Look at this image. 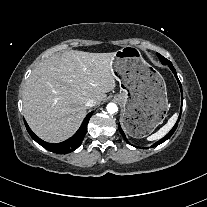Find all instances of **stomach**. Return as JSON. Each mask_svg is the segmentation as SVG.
I'll use <instances>...</instances> for the list:
<instances>
[{
	"label": "stomach",
	"mask_w": 207,
	"mask_h": 207,
	"mask_svg": "<svg viewBox=\"0 0 207 207\" xmlns=\"http://www.w3.org/2000/svg\"><path fill=\"white\" fill-rule=\"evenodd\" d=\"M112 66L121 91L115 96L124 109V125L136 136L152 132L168 110L163 77L152 71L138 49L126 46L114 53Z\"/></svg>",
	"instance_id": "1"
}]
</instances>
